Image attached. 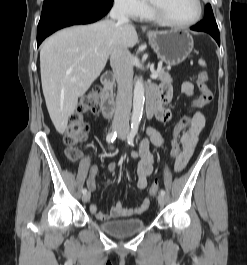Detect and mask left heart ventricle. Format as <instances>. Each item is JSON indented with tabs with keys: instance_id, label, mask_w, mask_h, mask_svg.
Segmentation results:
<instances>
[{
	"instance_id": "left-heart-ventricle-1",
	"label": "left heart ventricle",
	"mask_w": 247,
	"mask_h": 265,
	"mask_svg": "<svg viewBox=\"0 0 247 265\" xmlns=\"http://www.w3.org/2000/svg\"><path fill=\"white\" fill-rule=\"evenodd\" d=\"M159 6L168 18L184 23L192 20L197 14L196 0H151Z\"/></svg>"
}]
</instances>
